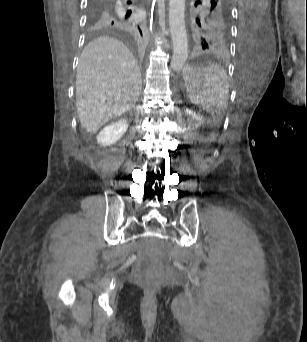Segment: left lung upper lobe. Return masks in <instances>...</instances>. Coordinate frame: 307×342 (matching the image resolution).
I'll return each instance as SVG.
<instances>
[{"instance_id": "1", "label": "left lung upper lobe", "mask_w": 307, "mask_h": 342, "mask_svg": "<svg viewBox=\"0 0 307 342\" xmlns=\"http://www.w3.org/2000/svg\"><path fill=\"white\" fill-rule=\"evenodd\" d=\"M201 4L198 16L194 17V40L200 51L224 53L230 38V8L228 0L197 1Z\"/></svg>"}]
</instances>
